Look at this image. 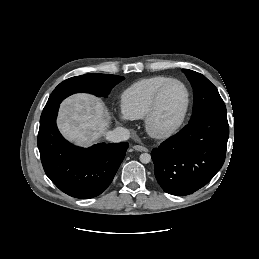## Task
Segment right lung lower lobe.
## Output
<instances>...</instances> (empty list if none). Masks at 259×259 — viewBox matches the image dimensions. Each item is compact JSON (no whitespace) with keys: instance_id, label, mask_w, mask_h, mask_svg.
Returning a JSON list of instances; mask_svg holds the SVG:
<instances>
[{"instance_id":"1","label":"right lung lower lobe","mask_w":259,"mask_h":259,"mask_svg":"<svg viewBox=\"0 0 259 259\" xmlns=\"http://www.w3.org/2000/svg\"><path fill=\"white\" fill-rule=\"evenodd\" d=\"M59 104L44 109L38 148L46 175L64 193L76 198L101 194L112 182L128 143H99L80 148L66 141L56 125Z\"/></svg>"}]
</instances>
